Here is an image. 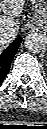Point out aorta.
Returning a JSON list of instances; mask_svg holds the SVG:
<instances>
[{
	"label": "aorta",
	"mask_w": 47,
	"mask_h": 129,
	"mask_svg": "<svg viewBox=\"0 0 47 129\" xmlns=\"http://www.w3.org/2000/svg\"><path fill=\"white\" fill-rule=\"evenodd\" d=\"M24 45L30 52L39 53L46 49L47 39L39 32H32L25 37Z\"/></svg>",
	"instance_id": "1"
}]
</instances>
